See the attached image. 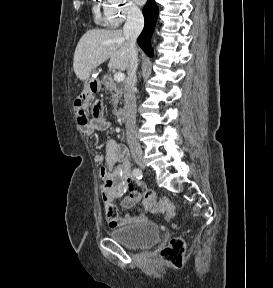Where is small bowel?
Listing matches in <instances>:
<instances>
[{"mask_svg": "<svg viewBox=\"0 0 273 288\" xmlns=\"http://www.w3.org/2000/svg\"><path fill=\"white\" fill-rule=\"evenodd\" d=\"M110 122L103 116L93 115V119L86 125L81 126L85 136H91L95 130H106ZM102 162L100 176L103 180L101 198L104 213L110 227L116 228L124 225L141 223L146 220L147 209L157 212V201L154 191L147 189L142 182L138 181L131 173V163L126 148L115 140H107L105 143V155L97 156ZM121 199V207L130 209L142 201L136 214H126L120 217L113 202Z\"/></svg>", "mask_w": 273, "mask_h": 288, "instance_id": "c3829d8e", "label": "small bowel"}]
</instances>
